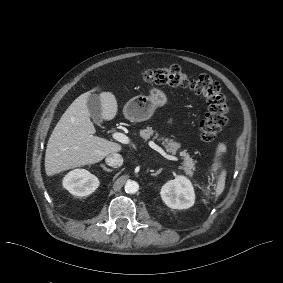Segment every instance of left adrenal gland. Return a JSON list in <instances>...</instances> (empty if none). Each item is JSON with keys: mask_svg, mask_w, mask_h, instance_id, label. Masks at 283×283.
<instances>
[{"mask_svg": "<svg viewBox=\"0 0 283 283\" xmlns=\"http://www.w3.org/2000/svg\"><path fill=\"white\" fill-rule=\"evenodd\" d=\"M162 171V168H160L159 170H157L155 173H151L152 176H157L158 174H160Z\"/></svg>", "mask_w": 283, "mask_h": 283, "instance_id": "1", "label": "left adrenal gland"}]
</instances>
